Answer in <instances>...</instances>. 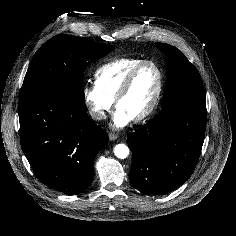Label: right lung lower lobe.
<instances>
[{
    "label": "right lung lower lobe",
    "mask_w": 236,
    "mask_h": 236,
    "mask_svg": "<svg viewBox=\"0 0 236 236\" xmlns=\"http://www.w3.org/2000/svg\"><path fill=\"white\" fill-rule=\"evenodd\" d=\"M20 140L36 177L46 186L76 195L93 181L94 159L108 143L83 100L34 93L20 98Z\"/></svg>",
    "instance_id": "1"
}]
</instances>
